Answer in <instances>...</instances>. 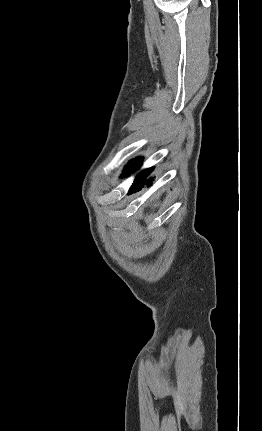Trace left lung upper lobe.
<instances>
[{"label":"left lung upper lobe","instance_id":"obj_1","mask_svg":"<svg viewBox=\"0 0 262 431\" xmlns=\"http://www.w3.org/2000/svg\"><path fill=\"white\" fill-rule=\"evenodd\" d=\"M131 164H132V162H131V163H129V165H128V166H126L125 173H124L122 176H125L126 174L130 173V171H131Z\"/></svg>","mask_w":262,"mask_h":431}]
</instances>
